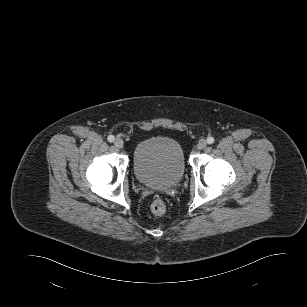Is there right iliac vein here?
Masks as SVG:
<instances>
[{
	"mask_svg": "<svg viewBox=\"0 0 307 307\" xmlns=\"http://www.w3.org/2000/svg\"><path fill=\"white\" fill-rule=\"evenodd\" d=\"M114 145H115L117 148H119V149L123 148V145H124L123 140H121V139H116L115 142H114Z\"/></svg>",
	"mask_w": 307,
	"mask_h": 307,
	"instance_id": "obj_1",
	"label": "right iliac vein"
}]
</instances>
